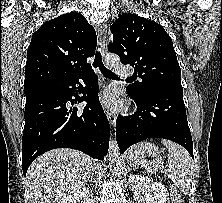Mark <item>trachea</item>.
<instances>
[{"mask_svg":"<svg viewBox=\"0 0 222 203\" xmlns=\"http://www.w3.org/2000/svg\"><path fill=\"white\" fill-rule=\"evenodd\" d=\"M93 66L96 68V67H99L101 73L103 75H105L106 77H109V78H112V79H119L112 71L108 70L103 62H102V57H101V53L100 52H97L96 55H95V60L93 62Z\"/></svg>","mask_w":222,"mask_h":203,"instance_id":"obj_1","label":"trachea"}]
</instances>
